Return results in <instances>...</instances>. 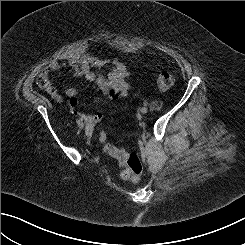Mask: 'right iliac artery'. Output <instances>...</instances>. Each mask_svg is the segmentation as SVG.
<instances>
[{
	"mask_svg": "<svg viewBox=\"0 0 245 245\" xmlns=\"http://www.w3.org/2000/svg\"><path fill=\"white\" fill-rule=\"evenodd\" d=\"M76 122H77L78 126L82 123L80 120H77Z\"/></svg>",
	"mask_w": 245,
	"mask_h": 245,
	"instance_id": "1",
	"label": "right iliac artery"
}]
</instances>
